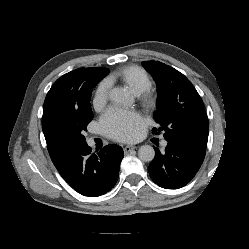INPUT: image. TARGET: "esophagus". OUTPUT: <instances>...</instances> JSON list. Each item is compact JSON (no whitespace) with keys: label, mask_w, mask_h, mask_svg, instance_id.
I'll return each mask as SVG.
<instances>
[{"label":"esophagus","mask_w":249,"mask_h":249,"mask_svg":"<svg viewBox=\"0 0 249 249\" xmlns=\"http://www.w3.org/2000/svg\"><path fill=\"white\" fill-rule=\"evenodd\" d=\"M136 148V146H132V145H128V146H124L123 147V151L125 154L131 152L132 150H134Z\"/></svg>","instance_id":"esophagus-1"}]
</instances>
